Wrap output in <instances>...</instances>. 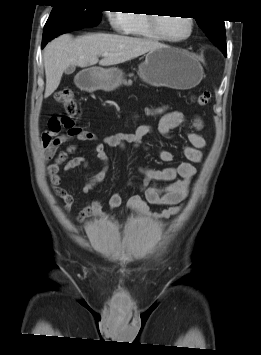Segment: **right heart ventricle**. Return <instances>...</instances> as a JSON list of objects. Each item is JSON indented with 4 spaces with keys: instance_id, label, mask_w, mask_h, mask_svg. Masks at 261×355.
<instances>
[{
    "instance_id": "right-heart-ventricle-1",
    "label": "right heart ventricle",
    "mask_w": 261,
    "mask_h": 355,
    "mask_svg": "<svg viewBox=\"0 0 261 355\" xmlns=\"http://www.w3.org/2000/svg\"><path fill=\"white\" fill-rule=\"evenodd\" d=\"M129 17L130 24L126 33L146 39H158L150 28L149 13L135 11Z\"/></svg>"
}]
</instances>
